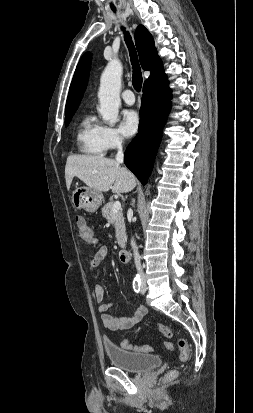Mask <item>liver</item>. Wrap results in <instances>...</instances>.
<instances>
[{
  "label": "liver",
  "mask_w": 253,
  "mask_h": 413,
  "mask_svg": "<svg viewBox=\"0 0 253 413\" xmlns=\"http://www.w3.org/2000/svg\"><path fill=\"white\" fill-rule=\"evenodd\" d=\"M78 177L89 188L113 193L131 191L136 186L135 176L113 159L94 155L69 156L65 166V180L70 189L74 177Z\"/></svg>",
  "instance_id": "6515ba94"
}]
</instances>
